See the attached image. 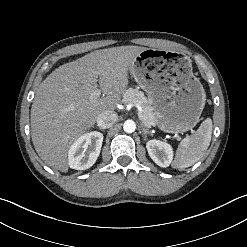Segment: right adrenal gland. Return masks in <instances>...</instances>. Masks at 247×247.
<instances>
[{
	"label": "right adrenal gland",
	"instance_id": "obj_1",
	"mask_svg": "<svg viewBox=\"0 0 247 247\" xmlns=\"http://www.w3.org/2000/svg\"><path fill=\"white\" fill-rule=\"evenodd\" d=\"M99 130L102 131V132H105V130L103 128H99Z\"/></svg>",
	"mask_w": 247,
	"mask_h": 247
}]
</instances>
